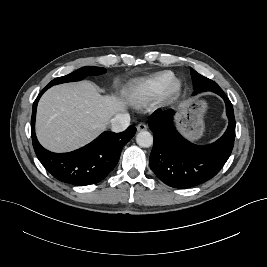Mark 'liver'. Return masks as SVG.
I'll return each instance as SVG.
<instances>
[{
	"instance_id": "1",
	"label": "liver",
	"mask_w": 267,
	"mask_h": 267,
	"mask_svg": "<svg viewBox=\"0 0 267 267\" xmlns=\"http://www.w3.org/2000/svg\"><path fill=\"white\" fill-rule=\"evenodd\" d=\"M126 104L116 96H102L89 81L54 86L38 104V140L58 153L80 148L101 134L113 116L124 113Z\"/></svg>"
}]
</instances>
